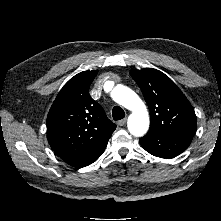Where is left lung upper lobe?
<instances>
[{
  "mask_svg": "<svg viewBox=\"0 0 221 221\" xmlns=\"http://www.w3.org/2000/svg\"><path fill=\"white\" fill-rule=\"evenodd\" d=\"M130 75L140 87L149 107V132L192 138L196 129V115L176 84L164 73L152 68L132 70Z\"/></svg>",
  "mask_w": 221,
  "mask_h": 221,
  "instance_id": "left-lung-upper-lobe-1",
  "label": "left lung upper lobe"
}]
</instances>
